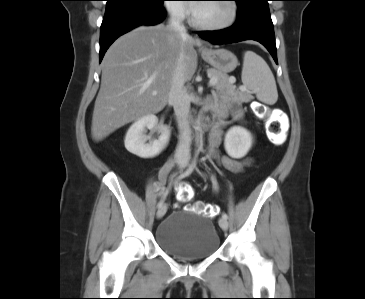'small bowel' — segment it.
I'll use <instances>...</instances> for the list:
<instances>
[{"label":"small bowel","mask_w":365,"mask_h":299,"mask_svg":"<svg viewBox=\"0 0 365 299\" xmlns=\"http://www.w3.org/2000/svg\"><path fill=\"white\" fill-rule=\"evenodd\" d=\"M228 111L231 113L232 117L235 120H241V118H242V110H241L239 103L234 102V101H225V105L223 107H221L219 110L220 120H219L218 124L216 125V127L214 128V130L212 131V133L210 135V139H209L210 153L212 156H215V148L217 147V145L220 142L223 121H224L225 117L227 116ZM250 162H251L250 159H235V158H232L229 156H223L221 158L222 166L225 169H227L228 171L235 172V173L242 171L246 166H248L250 164ZM172 166H173V162L168 161L161 169L160 182L158 183L159 186H161V187L163 186L164 179L166 178V176L172 169Z\"/></svg>","instance_id":"obj_1"}]
</instances>
